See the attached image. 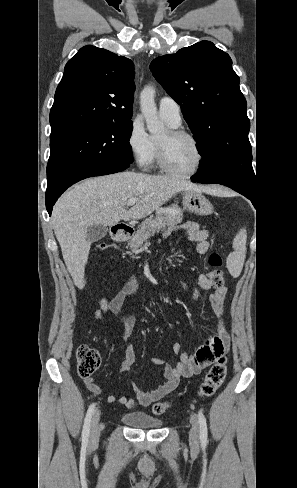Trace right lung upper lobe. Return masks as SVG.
I'll list each match as a JSON object with an SVG mask.
<instances>
[{"label": "right lung upper lobe", "mask_w": 297, "mask_h": 488, "mask_svg": "<svg viewBox=\"0 0 297 488\" xmlns=\"http://www.w3.org/2000/svg\"><path fill=\"white\" fill-rule=\"evenodd\" d=\"M131 60L91 45L68 61L50 111L51 134L68 128L131 121Z\"/></svg>", "instance_id": "1"}]
</instances>
